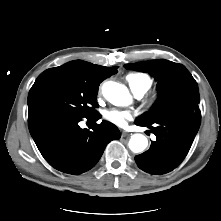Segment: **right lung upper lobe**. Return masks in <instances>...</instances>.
<instances>
[{
    "instance_id": "obj_1",
    "label": "right lung upper lobe",
    "mask_w": 221,
    "mask_h": 221,
    "mask_svg": "<svg viewBox=\"0 0 221 221\" xmlns=\"http://www.w3.org/2000/svg\"><path fill=\"white\" fill-rule=\"evenodd\" d=\"M117 73V67H104L100 65H95L82 60H75L68 62L62 66L47 69L41 73L36 79L34 85L32 86L28 95V107H29V118L37 115V113L32 108L31 94L33 88L41 81L58 74L69 75L78 80L84 81L89 84L99 86L100 83L107 77Z\"/></svg>"
}]
</instances>
